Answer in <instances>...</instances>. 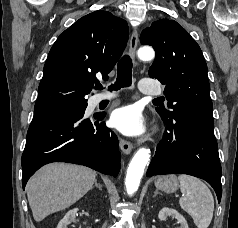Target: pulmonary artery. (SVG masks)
I'll return each mask as SVG.
<instances>
[{
	"instance_id": "e3ab8cb5",
	"label": "pulmonary artery",
	"mask_w": 238,
	"mask_h": 228,
	"mask_svg": "<svg viewBox=\"0 0 238 228\" xmlns=\"http://www.w3.org/2000/svg\"><path fill=\"white\" fill-rule=\"evenodd\" d=\"M140 91L145 95L152 96L159 95L161 93V88L154 79L146 78L140 82ZM114 97H116V94H101L97 96L96 102L112 99Z\"/></svg>"
}]
</instances>
